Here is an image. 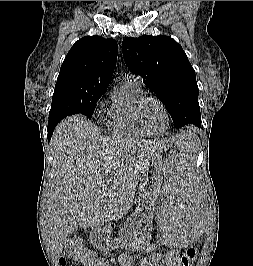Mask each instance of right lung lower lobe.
<instances>
[{
  "label": "right lung lower lobe",
  "instance_id": "98d812e1",
  "mask_svg": "<svg viewBox=\"0 0 253 266\" xmlns=\"http://www.w3.org/2000/svg\"><path fill=\"white\" fill-rule=\"evenodd\" d=\"M59 122H55V123H48V141H50L51 136L53 134V130L55 129L56 125Z\"/></svg>",
  "mask_w": 253,
  "mask_h": 266
}]
</instances>
